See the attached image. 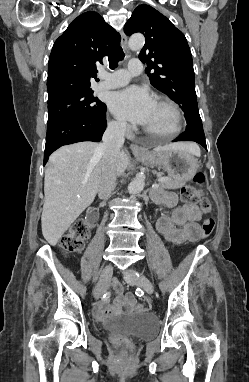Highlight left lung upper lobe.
I'll use <instances>...</instances> for the list:
<instances>
[{
  "instance_id": "left-lung-upper-lobe-1",
  "label": "left lung upper lobe",
  "mask_w": 249,
  "mask_h": 382,
  "mask_svg": "<svg viewBox=\"0 0 249 382\" xmlns=\"http://www.w3.org/2000/svg\"><path fill=\"white\" fill-rule=\"evenodd\" d=\"M130 36L140 32L146 42L139 59L147 63L150 83L175 101L187 126H202L194 84L192 55L184 34L149 5H140L124 26Z\"/></svg>"
}]
</instances>
